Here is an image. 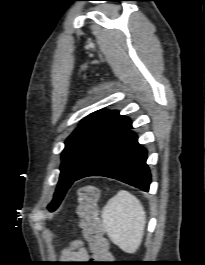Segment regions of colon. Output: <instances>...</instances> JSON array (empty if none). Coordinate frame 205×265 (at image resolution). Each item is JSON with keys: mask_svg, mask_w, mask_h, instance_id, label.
Returning <instances> with one entry per match:
<instances>
[{"mask_svg": "<svg viewBox=\"0 0 205 265\" xmlns=\"http://www.w3.org/2000/svg\"><path fill=\"white\" fill-rule=\"evenodd\" d=\"M99 189L89 184L79 189L77 214L80 228L92 252L91 265H104L111 259L109 243L99 217Z\"/></svg>", "mask_w": 205, "mask_h": 265, "instance_id": "colon-1", "label": "colon"}]
</instances>
